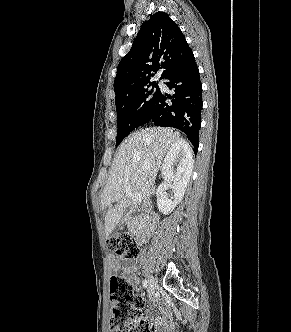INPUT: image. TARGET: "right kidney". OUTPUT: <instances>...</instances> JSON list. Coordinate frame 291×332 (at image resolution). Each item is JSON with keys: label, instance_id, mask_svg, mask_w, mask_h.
I'll return each instance as SVG.
<instances>
[{"label": "right kidney", "instance_id": "ca27d5eb", "mask_svg": "<svg viewBox=\"0 0 291 332\" xmlns=\"http://www.w3.org/2000/svg\"><path fill=\"white\" fill-rule=\"evenodd\" d=\"M176 167V168H175ZM193 168V155L189 145L181 140L174 143L168 151L162 166V176L166 182L174 184V200L167 193L161 192L157 197V206L161 213H171L183 199L190 181Z\"/></svg>", "mask_w": 291, "mask_h": 332}]
</instances>
